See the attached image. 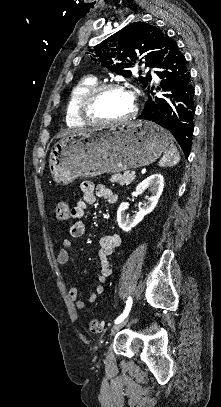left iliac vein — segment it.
Masks as SVG:
<instances>
[{
  "label": "left iliac vein",
  "instance_id": "4c4485c4",
  "mask_svg": "<svg viewBox=\"0 0 221 407\" xmlns=\"http://www.w3.org/2000/svg\"><path fill=\"white\" fill-rule=\"evenodd\" d=\"M129 319H130V316H127L123 321H121L118 324H115L113 326V328L111 329V335H114L117 331L122 329L128 323Z\"/></svg>",
  "mask_w": 221,
  "mask_h": 407
}]
</instances>
